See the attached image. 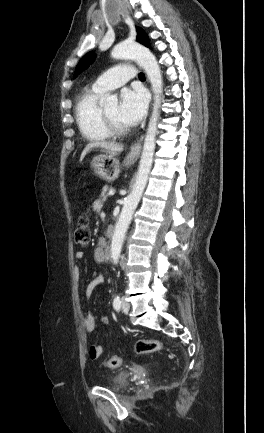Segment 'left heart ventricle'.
<instances>
[{
  "label": "left heart ventricle",
  "mask_w": 264,
  "mask_h": 433,
  "mask_svg": "<svg viewBox=\"0 0 264 433\" xmlns=\"http://www.w3.org/2000/svg\"><path fill=\"white\" fill-rule=\"evenodd\" d=\"M105 111L107 112V114L120 126L122 127H127L126 124H124L118 116V105L117 104H113V105H109L107 107L104 108Z\"/></svg>",
  "instance_id": "1"
}]
</instances>
